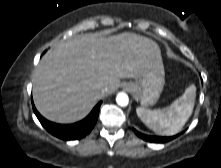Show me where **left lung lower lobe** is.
<instances>
[{"label": "left lung lower lobe", "instance_id": "left-lung-lower-lobe-1", "mask_svg": "<svg viewBox=\"0 0 221 168\" xmlns=\"http://www.w3.org/2000/svg\"><path fill=\"white\" fill-rule=\"evenodd\" d=\"M133 131L143 140L148 141V142H154V143H165L177 137V135L171 136V137L150 136V135L140 133L135 129H133Z\"/></svg>", "mask_w": 221, "mask_h": 168}]
</instances>
